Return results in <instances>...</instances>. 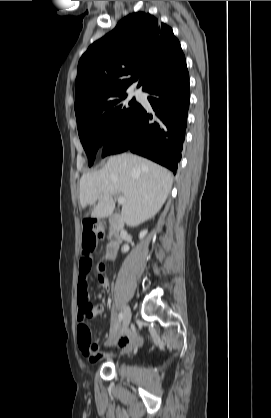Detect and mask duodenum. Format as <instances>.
I'll return each instance as SVG.
<instances>
[{"mask_svg":"<svg viewBox=\"0 0 271 418\" xmlns=\"http://www.w3.org/2000/svg\"><path fill=\"white\" fill-rule=\"evenodd\" d=\"M122 234H123V230L119 226L114 225L111 228L110 235H109V243L107 245V251H106V255L109 259L113 258L114 255L116 254L119 248V244L122 240Z\"/></svg>","mask_w":271,"mask_h":418,"instance_id":"410a0bca","label":"duodenum"}]
</instances>
